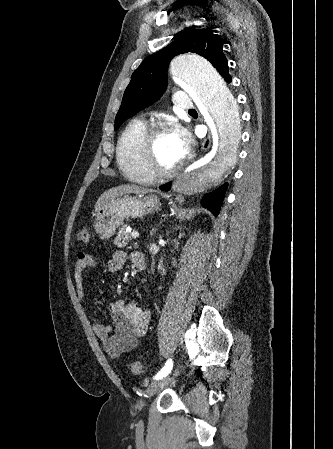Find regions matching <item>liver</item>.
Segmentation results:
<instances>
[{
    "label": "liver",
    "instance_id": "1",
    "mask_svg": "<svg viewBox=\"0 0 333 449\" xmlns=\"http://www.w3.org/2000/svg\"><path fill=\"white\" fill-rule=\"evenodd\" d=\"M152 190H147L136 185L124 184L116 187H112L106 190L101 196L98 198L95 211L97 212L107 201L111 199H115L121 197L126 194L135 193V194H146L151 192Z\"/></svg>",
    "mask_w": 333,
    "mask_h": 449
}]
</instances>
